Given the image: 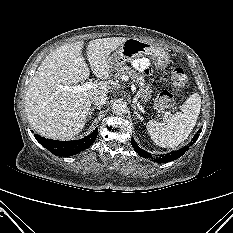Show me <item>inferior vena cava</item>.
Masks as SVG:
<instances>
[{
  "instance_id": "602c4592",
  "label": "inferior vena cava",
  "mask_w": 233,
  "mask_h": 233,
  "mask_svg": "<svg viewBox=\"0 0 233 233\" xmlns=\"http://www.w3.org/2000/svg\"><path fill=\"white\" fill-rule=\"evenodd\" d=\"M106 100H107V96L106 95H96L94 96L92 99H91V102L97 106V107H100L102 105H104L106 103Z\"/></svg>"
}]
</instances>
